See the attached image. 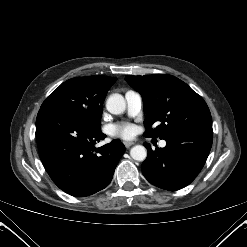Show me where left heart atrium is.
Masks as SVG:
<instances>
[{"mask_svg":"<svg viewBox=\"0 0 247 247\" xmlns=\"http://www.w3.org/2000/svg\"><path fill=\"white\" fill-rule=\"evenodd\" d=\"M132 132L133 128L128 123L115 124L110 127V134L114 137L128 138Z\"/></svg>","mask_w":247,"mask_h":247,"instance_id":"left-heart-atrium-1","label":"left heart atrium"}]
</instances>
